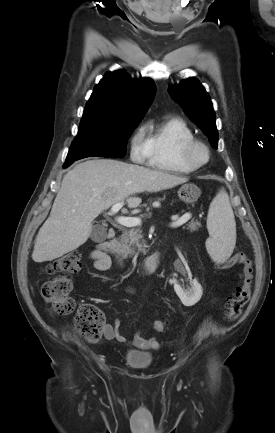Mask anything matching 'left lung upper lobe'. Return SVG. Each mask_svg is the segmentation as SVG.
<instances>
[{
    "instance_id": "left-lung-upper-lobe-1",
    "label": "left lung upper lobe",
    "mask_w": 275,
    "mask_h": 433,
    "mask_svg": "<svg viewBox=\"0 0 275 433\" xmlns=\"http://www.w3.org/2000/svg\"><path fill=\"white\" fill-rule=\"evenodd\" d=\"M168 90L189 119L209 138L211 146L217 149L215 113L210 97L202 84L197 79L188 78L179 85L169 86Z\"/></svg>"
}]
</instances>
